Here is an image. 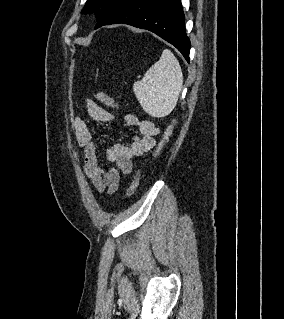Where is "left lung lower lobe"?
I'll return each instance as SVG.
<instances>
[{
	"label": "left lung lower lobe",
	"instance_id": "0a47b994",
	"mask_svg": "<svg viewBox=\"0 0 284 319\" xmlns=\"http://www.w3.org/2000/svg\"><path fill=\"white\" fill-rule=\"evenodd\" d=\"M184 21L180 0H125L104 25L124 23L149 30L175 46L189 63Z\"/></svg>",
	"mask_w": 284,
	"mask_h": 319
}]
</instances>
